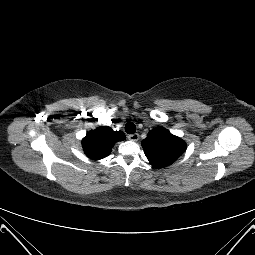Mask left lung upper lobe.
<instances>
[{"label":"left lung upper lobe","mask_w":255,"mask_h":255,"mask_svg":"<svg viewBox=\"0 0 255 255\" xmlns=\"http://www.w3.org/2000/svg\"><path fill=\"white\" fill-rule=\"evenodd\" d=\"M142 147L149 162L157 168H163L174 163L184 153L186 143L164 127H156L142 141Z\"/></svg>","instance_id":"left-lung-upper-lobe-1"}]
</instances>
